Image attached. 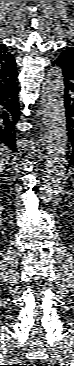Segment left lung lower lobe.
I'll use <instances>...</instances> for the list:
<instances>
[{
  "mask_svg": "<svg viewBox=\"0 0 74 366\" xmlns=\"http://www.w3.org/2000/svg\"><path fill=\"white\" fill-rule=\"evenodd\" d=\"M58 66L63 73L64 80V101L66 109V123L68 137L73 146L70 165L74 164V67L64 63L61 59H56L53 66Z\"/></svg>",
  "mask_w": 74,
  "mask_h": 366,
  "instance_id": "left-lung-lower-lobe-1",
  "label": "left lung lower lobe"
}]
</instances>
